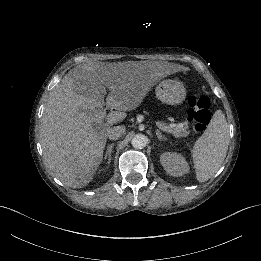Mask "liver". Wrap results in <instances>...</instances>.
<instances>
[{
  "instance_id": "6515ba94",
  "label": "liver",
  "mask_w": 261,
  "mask_h": 261,
  "mask_svg": "<svg viewBox=\"0 0 261 261\" xmlns=\"http://www.w3.org/2000/svg\"><path fill=\"white\" fill-rule=\"evenodd\" d=\"M151 64L79 65L49 94L39 136L45 166L62 183L84 188L103 160L108 132L138 108L166 70ZM107 105L117 111L107 112Z\"/></svg>"
}]
</instances>
